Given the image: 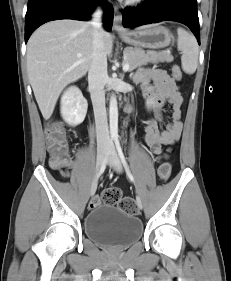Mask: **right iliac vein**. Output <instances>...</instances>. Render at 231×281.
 Segmentation results:
<instances>
[{
    "label": "right iliac vein",
    "instance_id": "63e3f726",
    "mask_svg": "<svg viewBox=\"0 0 231 281\" xmlns=\"http://www.w3.org/2000/svg\"><path fill=\"white\" fill-rule=\"evenodd\" d=\"M106 148L105 147H99L97 150V159H96V175L99 172V169L102 165V162L104 160ZM97 189V178L94 179L91 188H90V195L93 196Z\"/></svg>",
    "mask_w": 231,
    "mask_h": 281
}]
</instances>
